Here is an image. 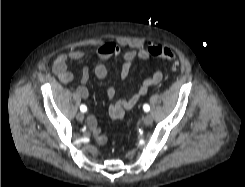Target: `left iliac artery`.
<instances>
[{"label":"left iliac artery","instance_id":"44dca946","mask_svg":"<svg viewBox=\"0 0 245 187\" xmlns=\"http://www.w3.org/2000/svg\"><path fill=\"white\" fill-rule=\"evenodd\" d=\"M144 111L148 112L150 110V106L148 104H145L143 106Z\"/></svg>","mask_w":245,"mask_h":187}]
</instances>
